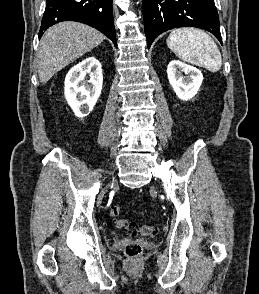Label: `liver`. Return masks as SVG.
I'll use <instances>...</instances> for the list:
<instances>
[{"label":"liver","mask_w":259,"mask_h":294,"mask_svg":"<svg viewBox=\"0 0 259 294\" xmlns=\"http://www.w3.org/2000/svg\"><path fill=\"white\" fill-rule=\"evenodd\" d=\"M105 36L78 22L65 21L50 27L42 36L37 55L38 76L42 84L54 74L97 47Z\"/></svg>","instance_id":"obj_1"}]
</instances>
